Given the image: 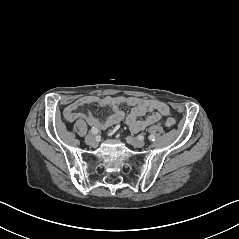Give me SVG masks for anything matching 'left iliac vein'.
<instances>
[{
	"label": "left iliac vein",
	"instance_id": "4c4485c4",
	"mask_svg": "<svg viewBox=\"0 0 239 239\" xmlns=\"http://www.w3.org/2000/svg\"><path fill=\"white\" fill-rule=\"evenodd\" d=\"M128 141L131 145H133L136 148H142L145 145V142L143 140L133 138V137H128Z\"/></svg>",
	"mask_w": 239,
	"mask_h": 239
}]
</instances>
